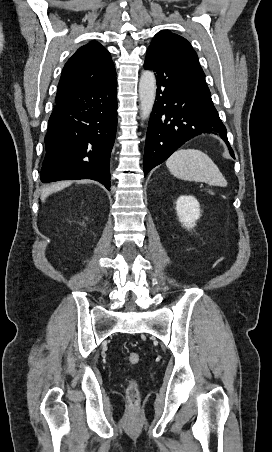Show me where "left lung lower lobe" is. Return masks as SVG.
<instances>
[{"label":"left lung lower lobe","mask_w":272,"mask_h":452,"mask_svg":"<svg viewBox=\"0 0 272 452\" xmlns=\"http://www.w3.org/2000/svg\"><path fill=\"white\" fill-rule=\"evenodd\" d=\"M145 69L156 73V100L151 112L144 152V174L164 162L175 150L202 133L227 140V131L215 109L204 79L189 66L147 51Z\"/></svg>","instance_id":"obj_1"}]
</instances>
